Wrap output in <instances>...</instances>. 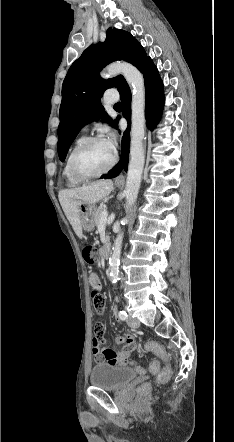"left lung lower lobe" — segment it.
<instances>
[{"label": "left lung lower lobe", "instance_id": "0a47b994", "mask_svg": "<svg viewBox=\"0 0 234 442\" xmlns=\"http://www.w3.org/2000/svg\"><path fill=\"white\" fill-rule=\"evenodd\" d=\"M144 75L145 81V117L147 126L153 129L161 116L163 104H164V94H163V83L158 74L157 68L154 65L150 57L146 59L141 70ZM120 97L123 102V112L122 115L128 121V128L122 137V158L118 164L107 174L102 176V178L109 179L118 176L123 169L127 170L128 157H129V144H130V126H131V91L127 85L123 86L120 90ZM119 119V118H118Z\"/></svg>", "mask_w": 234, "mask_h": 442}]
</instances>
